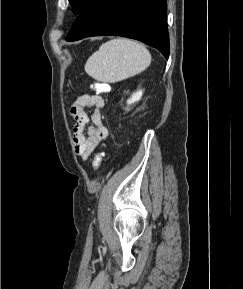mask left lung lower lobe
I'll use <instances>...</instances> for the list:
<instances>
[{"mask_svg":"<svg viewBox=\"0 0 243 289\" xmlns=\"http://www.w3.org/2000/svg\"><path fill=\"white\" fill-rule=\"evenodd\" d=\"M166 0H90L74 22L67 41L118 35L140 40L169 57Z\"/></svg>","mask_w":243,"mask_h":289,"instance_id":"0a47b994","label":"left lung lower lobe"}]
</instances>
